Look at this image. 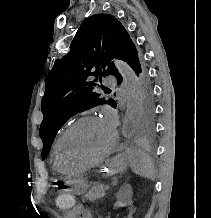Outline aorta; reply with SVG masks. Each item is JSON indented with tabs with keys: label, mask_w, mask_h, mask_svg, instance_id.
<instances>
[{
	"label": "aorta",
	"mask_w": 211,
	"mask_h": 218,
	"mask_svg": "<svg viewBox=\"0 0 211 218\" xmlns=\"http://www.w3.org/2000/svg\"><path fill=\"white\" fill-rule=\"evenodd\" d=\"M121 74L127 99V109L123 121L122 133L125 138L131 137L138 128L141 110V87L133 70L123 61L114 60Z\"/></svg>",
	"instance_id": "obj_1"
}]
</instances>
